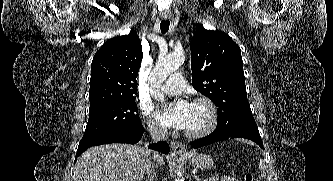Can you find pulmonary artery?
I'll return each instance as SVG.
<instances>
[{
    "label": "pulmonary artery",
    "mask_w": 333,
    "mask_h": 181,
    "mask_svg": "<svg viewBox=\"0 0 333 181\" xmlns=\"http://www.w3.org/2000/svg\"><path fill=\"white\" fill-rule=\"evenodd\" d=\"M185 87L184 77L180 74L172 75L163 86V92L167 95H175L182 92Z\"/></svg>",
    "instance_id": "1"
}]
</instances>
